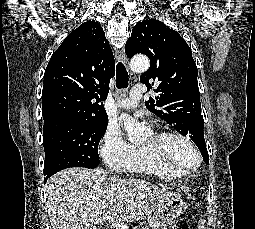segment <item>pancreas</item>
Wrapping results in <instances>:
<instances>
[{
  "label": "pancreas",
  "instance_id": "obj_1",
  "mask_svg": "<svg viewBox=\"0 0 255 229\" xmlns=\"http://www.w3.org/2000/svg\"><path fill=\"white\" fill-rule=\"evenodd\" d=\"M133 229H149L148 227H144V226H139V227H135V228H133Z\"/></svg>",
  "mask_w": 255,
  "mask_h": 229
}]
</instances>
